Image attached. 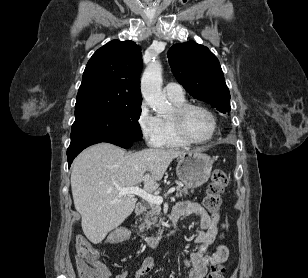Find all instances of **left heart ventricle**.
<instances>
[{"label":"left heart ventricle","mask_w":308,"mask_h":278,"mask_svg":"<svg viewBox=\"0 0 308 278\" xmlns=\"http://www.w3.org/2000/svg\"><path fill=\"white\" fill-rule=\"evenodd\" d=\"M184 127L192 138L204 139L212 130V120L205 111L191 109L184 117Z\"/></svg>","instance_id":"b2bd125f"}]
</instances>
